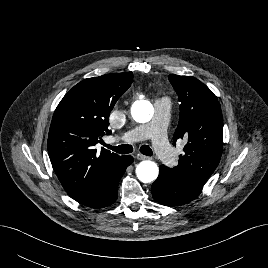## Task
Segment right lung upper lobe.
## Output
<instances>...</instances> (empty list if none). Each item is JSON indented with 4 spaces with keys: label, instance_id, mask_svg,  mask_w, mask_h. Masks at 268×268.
Returning a JSON list of instances; mask_svg holds the SVG:
<instances>
[{
    "label": "right lung upper lobe",
    "instance_id": "1",
    "mask_svg": "<svg viewBox=\"0 0 268 268\" xmlns=\"http://www.w3.org/2000/svg\"><path fill=\"white\" fill-rule=\"evenodd\" d=\"M133 73L106 74L75 85L58 104L48 135V154L65 191L84 204L122 156L95 145L111 134L109 113L130 87Z\"/></svg>",
    "mask_w": 268,
    "mask_h": 268
}]
</instances>
